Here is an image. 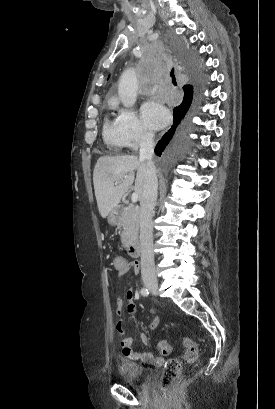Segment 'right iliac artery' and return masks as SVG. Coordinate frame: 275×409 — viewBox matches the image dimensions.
Masks as SVG:
<instances>
[{"label":"right iliac artery","instance_id":"82829eb1","mask_svg":"<svg viewBox=\"0 0 275 409\" xmlns=\"http://www.w3.org/2000/svg\"><path fill=\"white\" fill-rule=\"evenodd\" d=\"M141 294L145 297L149 295V290L147 288H142L141 289Z\"/></svg>","mask_w":275,"mask_h":409}]
</instances>
